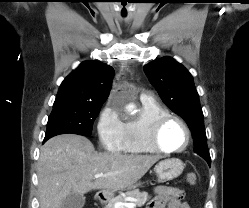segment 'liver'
Listing matches in <instances>:
<instances>
[{"mask_svg": "<svg viewBox=\"0 0 249 208\" xmlns=\"http://www.w3.org/2000/svg\"><path fill=\"white\" fill-rule=\"evenodd\" d=\"M160 159L159 156L97 153L84 136L62 134L49 139L38 160L40 208H61L71 193L100 189L113 193L132 187ZM96 174L111 176L95 178Z\"/></svg>", "mask_w": 249, "mask_h": 208, "instance_id": "6515ba94", "label": "liver"}]
</instances>
